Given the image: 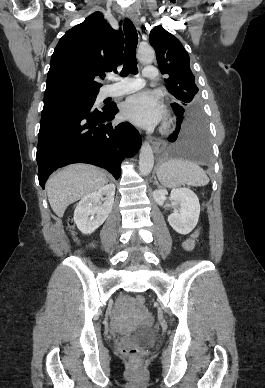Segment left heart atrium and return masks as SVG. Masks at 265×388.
<instances>
[{"mask_svg":"<svg viewBox=\"0 0 265 388\" xmlns=\"http://www.w3.org/2000/svg\"><path fill=\"white\" fill-rule=\"evenodd\" d=\"M123 114L142 125H153L165 117L166 111L158 97L145 91L131 95L123 104Z\"/></svg>","mask_w":265,"mask_h":388,"instance_id":"1","label":"left heart atrium"}]
</instances>
